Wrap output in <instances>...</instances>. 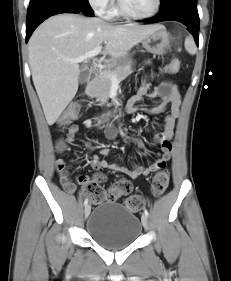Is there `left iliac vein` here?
I'll return each mask as SVG.
<instances>
[{
  "mask_svg": "<svg viewBox=\"0 0 231 281\" xmlns=\"http://www.w3.org/2000/svg\"><path fill=\"white\" fill-rule=\"evenodd\" d=\"M141 221H142L143 227L145 229H148V218L145 214H142Z\"/></svg>",
  "mask_w": 231,
  "mask_h": 281,
  "instance_id": "obj_1",
  "label": "left iliac vein"
}]
</instances>
